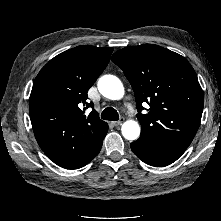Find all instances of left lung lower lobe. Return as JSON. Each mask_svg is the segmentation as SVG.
<instances>
[{
  "instance_id": "obj_1",
  "label": "left lung lower lobe",
  "mask_w": 221,
  "mask_h": 221,
  "mask_svg": "<svg viewBox=\"0 0 221 221\" xmlns=\"http://www.w3.org/2000/svg\"><path fill=\"white\" fill-rule=\"evenodd\" d=\"M131 149L143 162L156 167L167 166L176 161L186 148L147 138L131 143Z\"/></svg>"
}]
</instances>
